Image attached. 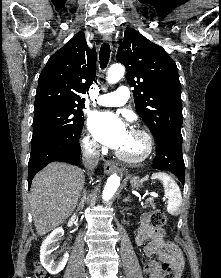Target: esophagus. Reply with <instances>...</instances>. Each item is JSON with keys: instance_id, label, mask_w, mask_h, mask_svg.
Wrapping results in <instances>:
<instances>
[{"instance_id": "34e87169", "label": "esophagus", "mask_w": 221, "mask_h": 278, "mask_svg": "<svg viewBox=\"0 0 221 278\" xmlns=\"http://www.w3.org/2000/svg\"><path fill=\"white\" fill-rule=\"evenodd\" d=\"M103 41L106 42V43H111L112 42V38L110 35H104L103 36ZM104 172L107 173V174H110L112 172H116L118 170V166L113 163V162H105L104 163Z\"/></svg>"}]
</instances>
